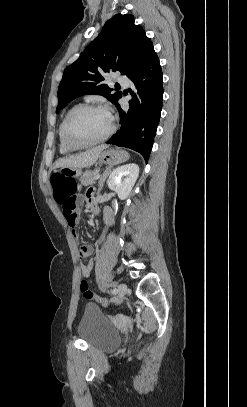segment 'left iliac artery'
Returning <instances> with one entry per match:
<instances>
[{"label":"left iliac artery","mask_w":247,"mask_h":407,"mask_svg":"<svg viewBox=\"0 0 247 407\" xmlns=\"http://www.w3.org/2000/svg\"><path fill=\"white\" fill-rule=\"evenodd\" d=\"M116 292H117V290H116V289H113V290H112V293H116Z\"/></svg>","instance_id":"44dca946"}]
</instances>
